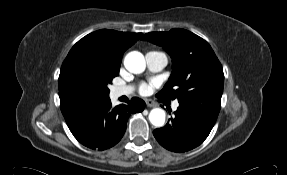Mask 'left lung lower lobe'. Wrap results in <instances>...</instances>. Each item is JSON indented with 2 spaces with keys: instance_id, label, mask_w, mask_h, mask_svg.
<instances>
[{
  "instance_id": "obj_1",
  "label": "left lung lower lobe",
  "mask_w": 287,
  "mask_h": 175,
  "mask_svg": "<svg viewBox=\"0 0 287 175\" xmlns=\"http://www.w3.org/2000/svg\"><path fill=\"white\" fill-rule=\"evenodd\" d=\"M213 126L190 109L179 106L174 117L153 134L164 148L181 153L203 143Z\"/></svg>"
}]
</instances>
